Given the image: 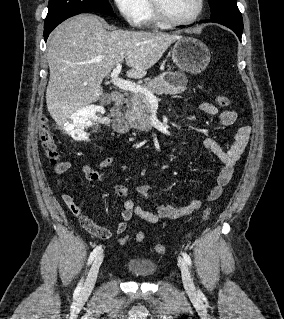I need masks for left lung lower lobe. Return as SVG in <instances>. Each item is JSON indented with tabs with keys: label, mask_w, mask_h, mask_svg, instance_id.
I'll return each mask as SVG.
<instances>
[{
	"label": "left lung lower lobe",
	"mask_w": 284,
	"mask_h": 319,
	"mask_svg": "<svg viewBox=\"0 0 284 319\" xmlns=\"http://www.w3.org/2000/svg\"><path fill=\"white\" fill-rule=\"evenodd\" d=\"M206 22H215L230 28L238 36L239 40L241 41L242 31H243V22H237V21L229 20V19H212V18L209 20H206Z\"/></svg>",
	"instance_id": "1"
}]
</instances>
